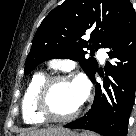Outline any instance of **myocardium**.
I'll list each match as a JSON object with an SVG mask.
<instances>
[{"instance_id":"myocardium-1","label":"myocardium","mask_w":136,"mask_h":136,"mask_svg":"<svg viewBox=\"0 0 136 136\" xmlns=\"http://www.w3.org/2000/svg\"><path fill=\"white\" fill-rule=\"evenodd\" d=\"M57 82H72V79L67 75L55 74L47 76L40 85L35 97V109L40 117L45 121L65 123L74 120L80 114L82 105L67 116L54 115L49 109L48 97L52 86Z\"/></svg>"}]
</instances>
